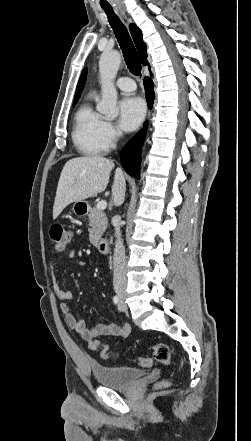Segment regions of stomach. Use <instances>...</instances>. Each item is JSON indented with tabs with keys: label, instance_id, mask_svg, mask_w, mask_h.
<instances>
[{
	"label": "stomach",
	"instance_id": "obj_1",
	"mask_svg": "<svg viewBox=\"0 0 251 441\" xmlns=\"http://www.w3.org/2000/svg\"><path fill=\"white\" fill-rule=\"evenodd\" d=\"M87 203L85 201H77L74 203L72 210L77 215H82L86 212Z\"/></svg>",
	"mask_w": 251,
	"mask_h": 441
}]
</instances>
